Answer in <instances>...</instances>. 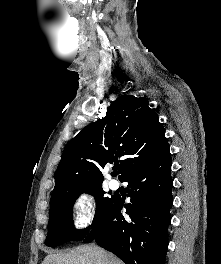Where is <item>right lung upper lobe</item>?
Here are the masks:
<instances>
[{"label": "right lung upper lobe", "mask_w": 221, "mask_h": 264, "mask_svg": "<svg viewBox=\"0 0 221 264\" xmlns=\"http://www.w3.org/2000/svg\"><path fill=\"white\" fill-rule=\"evenodd\" d=\"M168 153L165 130L156 112L146 100L122 95L103 119L86 126L66 144L50 206L66 195L102 186V173L121 157L120 180Z\"/></svg>", "instance_id": "cb5924a9"}]
</instances>
